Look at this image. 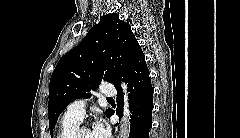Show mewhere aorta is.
Wrapping results in <instances>:
<instances>
[{
	"mask_svg": "<svg viewBox=\"0 0 240 138\" xmlns=\"http://www.w3.org/2000/svg\"><path fill=\"white\" fill-rule=\"evenodd\" d=\"M129 131H130V122H129V118H128V107H127V105H125V111H124L123 119L121 122L120 136L122 138H126L129 135Z\"/></svg>",
	"mask_w": 240,
	"mask_h": 138,
	"instance_id": "1",
	"label": "aorta"
}]
</instances>
